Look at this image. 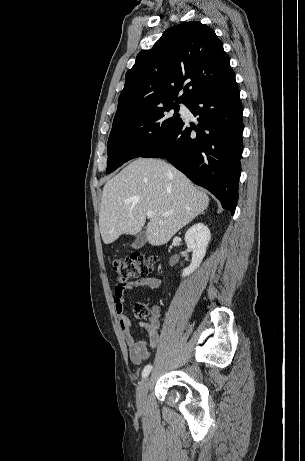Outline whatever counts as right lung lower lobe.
Segmentation results:
<instances>
[{
	"label": "right lung lower lobe",
	"instance_id": "obj_1",
	"mask_svg": "<svg viewBox=\"0 0 305 461\" xmlns=\"http://www.w3.org/2000/svg\"><path fill=\"white\" fill-rule=\"evenodd\" d=\"M198 124L182 121L157 148L140 157L166 158L195 184L212 192L233 215L243 149L242 104L235 74L193 98Z\"/></svg>",
	"mask_w": 305,
	"mask_h": 461
}]
</instances>
